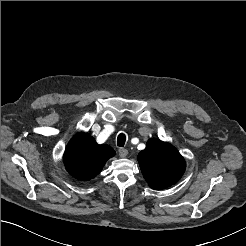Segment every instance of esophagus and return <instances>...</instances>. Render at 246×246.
Listing matches in <instances>:
<instances>
[{
    "label": "esophagus",
    "mask_w": 246,
    "mask_h": 246,
    "mask_svg": "<svg viewBox=\"0 0 246 246\" xmlns=\"http://www.w3.org/2000/svg\"><path fill=\"white\" fill-rule=\"evenodd\" d=\"M118 152H119V156L122 158H124L128 155V150L125 148H119Z\"/></svg>",
    "instance_id": "34e87169"
}]
</instances>
